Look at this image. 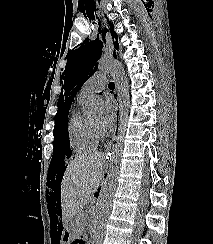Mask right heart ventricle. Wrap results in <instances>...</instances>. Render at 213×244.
Wrapping results in <instances>:
<instances>
[{"mask_svg": "<svg viewBox=\"0 0 213 244\" xmlns=\"http://www.w3.org/2000/svg\"><path fill=\"white\" fill-rule=\"evenodd\" d=\"M85 98L78 96V104ZM69 142L72 149L76 152H86L97 148L99 135L96 133L92 121L75 109L68 121Z\"/></svg>", "mask_w": 213, "mask_h": 244, "instance_id": "e07e8e85", "label": "right heart ventricle"}]
</instances>
